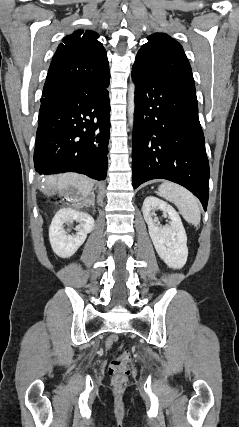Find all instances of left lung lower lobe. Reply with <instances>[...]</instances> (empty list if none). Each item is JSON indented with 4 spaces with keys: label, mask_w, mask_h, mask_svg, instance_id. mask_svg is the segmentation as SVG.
<instances>
[{
    "label": "left lung lower lobe",
    "mask_w": 239,
    "mask_h": 427,
    "mask_svg": "<svg viewBox=\"0 0 239 427\" xmlns=\"http://www.w3.org/2000/svg\"><path fill=\"white\" fill-rule=\"evenodd\" d=\"M132 78L134 189L152 179H167L190 190L206 210L209 162L195 90L136 65Z\"/></svg>",
    "instance_id": "left-lung-lower-lobe-1"
}]
</instances>
